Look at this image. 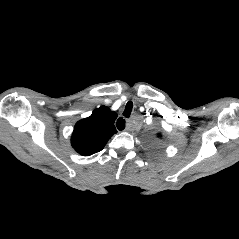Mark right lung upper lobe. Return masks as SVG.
<instances>
[{
    "label": "right lung upper lobe",
    "instance_id": "cb5924a9",
    "mask_svg": "<svg viewBox=\"0 0 239 239\" xmlns=\"http://www.w3.org/2000/svg\"><path fill=\"white\" fill-rule=\"evenodd\" d=\"M116 118L117 114L105 106L95 109L91 116L75 125L71 137L73 148L83 156L101 151L107 141L117 133L114 126Z\"/></svg>",
    "mask_w": 239,
    "mask_h": 239
}]
</instances>
